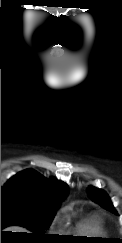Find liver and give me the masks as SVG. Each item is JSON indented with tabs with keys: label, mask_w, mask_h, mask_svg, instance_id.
Returning <instances> with one entry per match:
<instances>
[{
	"label": "liver",
	"mask_w": 122,
	"mask_h": 243,
	"mask_svg": "<svg viewBox=\"0 0 122 243\" xmlns=\"http://www.w3.org/2000/svg\"><path fill=\"white\" fill-rule=\"evenodd\" d=\"M5 231H12V232H26V229L21 228V227H17V226H13V227H9L7 228ZM29 233V232H27Z\"/></svg>",
	"instance_id": "obj_1"
}]
</instances>
